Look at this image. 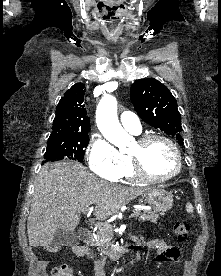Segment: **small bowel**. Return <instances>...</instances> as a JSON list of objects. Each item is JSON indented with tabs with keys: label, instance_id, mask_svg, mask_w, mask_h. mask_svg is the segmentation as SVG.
<instances>
[{
	"label": "small bowel",
	"instance_id": "small-bowel-1",
	"mask_svg": "<svg viewBox=\"0 0 221 276\" xmlns=\"http://www.w3.org/2000/svg\"><path fill=\"white\" fill-rule=\"evenodd\" d=\"M148 246L157 250L156 255L151 259L150 263L162 261H179L180 251L177 247L167 245L161 240H153L148 243ZM73 251L78 257L90 258L93 260L96 276H105L104 262L99 259H94L92 252L88 248L84 246H75Z\"/></svg>",
	"mask_w": 221,
	"mask_h": 276
}]
</instances>
